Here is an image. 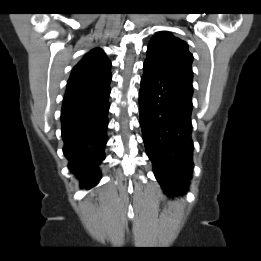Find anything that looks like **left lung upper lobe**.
I'll return each mask as SVG.
<instances>
[{
    "label": "left lung upper lobe",
    "mask_w": 261,
    "mask_h": 261,
    "mask_svg": "<svg viewBox=\"0 0 261 261\" xmlns=\"http://www.w3.org/2000/svg\"><path fill=\"white\" fill-rule=\"evenodd\" d=\"M193 55L185 41L167 31L157 32L149 42L145 62L154 67L193 80Z\"/></svg>",
    "instance_id": "1"
}]
</instances>
